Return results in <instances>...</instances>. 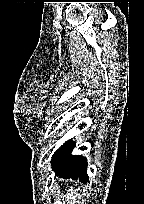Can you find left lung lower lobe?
Listing matches in <instances>:
<instances>
[{
	"label": "left lung lower lobe",
	"instance_id": "0a47b994",
	"mask_svg": "<svg viewBox=\"0 0 144 204\" xmlns=\"http://www.w3.org/2000/svg\"><path fill=\"white\" fill-rule=\"evenodd\" d=\"M75 142L68 141L52 156V168L57 176L63 178L80 179L82 182L88 181L87 160L79 155H70L75 147Z\"/></svg>",
	"mask_w": 144,
	"mask_h": 204
}]
</instances>
